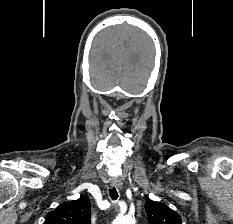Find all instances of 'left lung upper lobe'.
<instances>
[{
	"label": "left lung upper lobe",
	"mask_w": 233,
	"mask_h": 224,
	"mask_svg": "<svg viewBox=\"0 0 233 224\" xmlns=\"http://www.w3.org/2000/svg\"><path fill=\"white\" fill-rule=\"evenodd\" d=\"M145 210L150 224H181L180 216L163 203L147 200Z\"/></svg>",
	"instance_id": "5c2ea615"
}]
</instances>
